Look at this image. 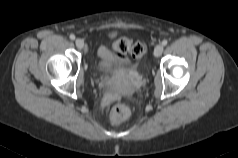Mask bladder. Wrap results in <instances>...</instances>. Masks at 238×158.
<instances>
[{
    "instance_id": "1",
    "label": "bladder",
    "mask_w": 238,
    "mask_h": 158,
    "mask_svg": "<svg viewBox=\"0 0 238 158\" xmlns=\"http://www.w3.org/2000/svg\"><path fill=\"white\" fill-rule=\"evenodd\" d=\"M122 66H123V64L116 59L101 60L98 63L99 69L103 72H112V71H115V70L121 68Z\"/></svg>"
}]
</instances>
